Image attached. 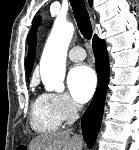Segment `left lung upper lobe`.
<instances>
[{
    "label": "left lung upper lobe",
    "mask_w": 139,
    "mask_h": 150,
    "mask_svg": "<svg viewBox=\"0 0 139 150\" xmlns=\"http://www.w3.org/2000/svg\"><path fill=\"white\" fill-rule=\"evenodd\" d=\"M39 20H40V17H38V18L35 20V22H34V24H33V27H32V29H31V31H30L29 36L31 35V33H32V31H33V28L35 27L36 23H37Z\"/></svg>",
    "instance_id": "5c2ea615"
}]
</instances>
